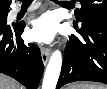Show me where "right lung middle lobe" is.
I'll return each instance as SVG.
<instances>
[{
  "label": "right lung middle lobe",
  "mask_w": 107,
  "mask_h": 89,
  "mask_svg": "<svg viewBox=\"0 0 107 89\" xmlns=\"http://www.w3.org/2000/svg\"><path fill=\"white\" fill-rule=\"evenodd\" d=\"M7 14H8V12H1V13H0V23L6 25V22H7Z\"/></svg>",
  "instance_id": "obj_1"
}]
</instances>
